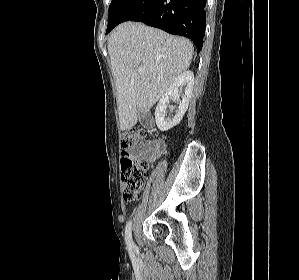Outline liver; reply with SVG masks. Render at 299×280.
<instances>
[{
  "label": "liver",
  "mask_w": 299,
  "mask_h": 280,
  "mask_svg": "<svg viewBox=\"0 0 299 280\" xmlns=\"http://www.w3.org/2000/svg\"><path fill=\"white\" fill-rule=\"evenodd\" d=\"M108 52L117 89L120 129L126 131L188 69L194 48L188 39L129 21L116 27L109 37Z\"/></svg>",
  "instance_id": "1"
}]
</instances>
